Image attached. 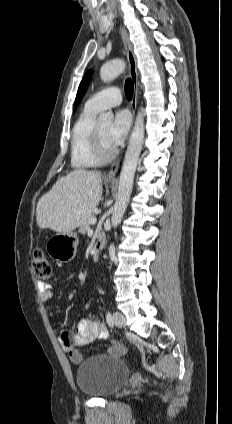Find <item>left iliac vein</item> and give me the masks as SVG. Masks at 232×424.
<instances>
[{"instance_id": "4c4485c4", "label": "left iliac vein", "mask_w": 232, "mask_h": 424, "mask_svg": "<svg viewBox=\"0 0 232 424\" xmlns=\"http://www.w3.org/2000/svg\"><path fill=\"white\" fill-rule=\"evenodd\" d=\"M113 320H114V324L117 327H120V328L125 327L126 319H125L124 315L121 314L120 312H115L113 314Z\"/></svg>"}]
</instances>
